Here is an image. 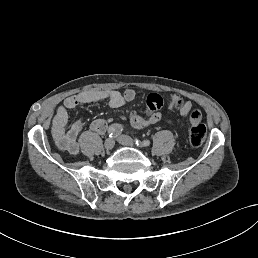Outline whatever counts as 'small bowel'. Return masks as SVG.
I'll use <instances>...</instances> for the list:
<instances>
[{"label": "small bowel", "instance_id": "obj_1", "mask_svg": "<svg viewBox=\"0 0 258 258\" xmlns=\"http://www.w3.org/2000/svg\"><path fill=\"white\" fill-rule=\"evenodd\" d=\"M136 97L132 89H126L123 92L108 89H89L67 97L57 108L52 119L51 133L55 144L59 149L77 154L79 152L78 137L83 127V120H76L70 127L68 124V110L73 109L80 104H88L97 101H107L112 108H120ZM182 100L178 94H172L168 104L169 110L176 109V102ZM163 107V98L158 94H150L147 97L145 105L138 112H131L127 119L136 129L146 128L161 120L162 114L159 111ZM182 117L189 116L193 124L199 123L201 113L199 110H192L190 102H183L179 108ZM171 123V121H169ZM108 128V122L103 119H96L90 124V130L96 134H104Z\"/></svg>", "mask_w": 258, "mask_h": 258}]
</instances>
